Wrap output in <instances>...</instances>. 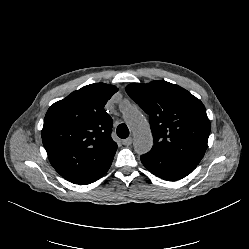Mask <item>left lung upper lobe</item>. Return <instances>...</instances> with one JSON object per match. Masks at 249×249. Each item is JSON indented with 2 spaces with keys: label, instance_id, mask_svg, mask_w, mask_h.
I'll use <instances>...</instances> for the list:
<instances>
[{
  "label": "left lung upper lobe",
  "instance_id": "left-lung-upper-lobe-1",
  "mask_svg": "<svg viewBox=\"0 0 249 249\" xmlns=\"http://www.w3.org/2000/svg\"><path fill=\"white\" fill-rule=\"evenodd\" d=\"M126 92L149 115L154 139L149 153L198 165L211 129L203 103L166 81L132 83Z\"/></svg>",
  "mask_w": 249,
  "mask_h": 249
}]
</instances>
